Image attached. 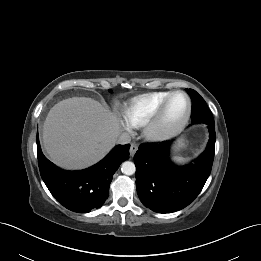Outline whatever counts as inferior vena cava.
<instances>
[{"instance_id": "602c4592", "label": "inferior vena cava", "mask_w": 261, "mask_h": 261, "mask_svg": "<svg viewBox=\"0 0 261 261\" xmlns=\"http://www.w3.org/2000/svg\"><path fill=\"white\" fill-rule=\"evenodd\" d=\"M130 141H131V137H130V134L127 132L121 133L117 139L118 144H127V143H130Z\"/></svg>"}]
</instances>
